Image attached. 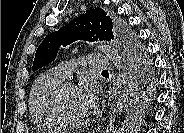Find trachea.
<instances>
[{
	"label": "trachea",
	"instance_id": "1",
	"mask_svg": "<svg viewBox=\"0 0 184 133\" xmlns=\"http://www.w3.org/2000/svg\"><path fill=\"white\" fill-rule=\"evenodd\" d=\"M102 72H108L107 70H104V71H102Z\"/></svg>",
	"mask_w": 184,
	"mask_h": 133
}]
</instances>
